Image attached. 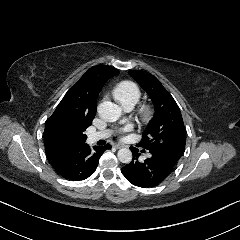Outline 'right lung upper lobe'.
<instances>
[{
    "instance_id": "1",
    "label": "right lung upper lobe",
    "mask_w": 240,
    "mask_h": 240,
    "mask_svg": "<svg viewBox=\"0 0 240 240\" xmlns=\"http://www.w3.org/2000/svg\"><path fill=\"white\" fill-rule=\"evenodd\" d=\"M118 73L119 71L111 66L97 65L90 68L70 88L47 120L44 130L47 155L65 150H78L86 144V135L78 133V130H86L91 125L102 87L108 79Z\"/></svg>"
}]
</instances>
